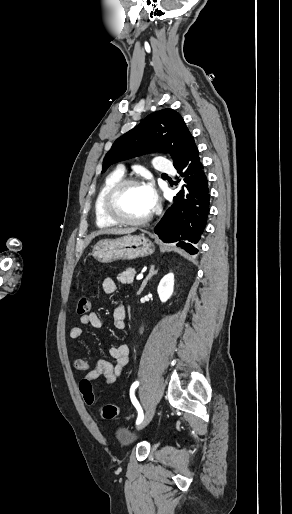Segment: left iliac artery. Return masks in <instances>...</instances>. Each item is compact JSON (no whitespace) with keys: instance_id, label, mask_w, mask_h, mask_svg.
Segmentation results:
<instances>
[{"instance_id":"left-iliac-artery-1","label":"left iliac artery","mask_w":292,"mask_h":514,"mask_svg":"<svg viewBox=\"0 0 292 514\" xmlns=\"http://www.w3.org/2000/svg\"><path fill=\"white\" fill-rule=\"evenodd\" d=\"M138 386H139V382L135 381L132 384L131 389H130V396H131L132 403L134 404V406L136 407V409L138 411V417H137V420H136V425L141 424V422L143 421V418H144L143 410H142L140 404L138 403V401L136 400V398L134 396V391H135V389Z\"/></svg>"}]
</instances>
